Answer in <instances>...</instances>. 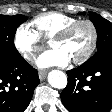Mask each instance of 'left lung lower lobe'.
Segmentation results:
<instances>
[{"instance_id":"1","label":"left lung lower lobe","mask_w":112,"mask_h":112,"mask_svg":"<svg viewBox=\"0 0 112 112\" xmlns=\"http://www.w3.org/2000/svg\"><path fill=\"white\" fill-rule=\"evenodd\" d=\"M61 100L70 112H109L112 109V52L67 71Z\"/></svg>"}]
</instances>
